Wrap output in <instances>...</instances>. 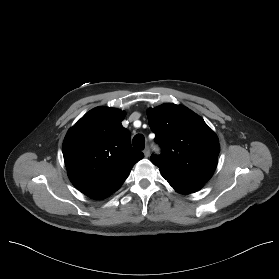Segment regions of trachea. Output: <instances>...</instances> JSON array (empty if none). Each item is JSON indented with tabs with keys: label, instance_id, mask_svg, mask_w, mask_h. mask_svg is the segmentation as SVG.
Wrapping results in <instances>:
<instances>
[{
	"label": "trachea",
	"instance_id": "3493384b",
	"mask_svg": "<svg viewBox=\"0 0 279 279\" xmlns=\"http://www.w3.org/2000/svg\"><path fill=\"white\" fill-rule=\"evenodd\" d=\"M133 146L138 150H143L145 147V139L142 134H137L132 140Z\"/></svg>",
	"mask_w": 279,
	"mask_h": 279
}]
</instances>
